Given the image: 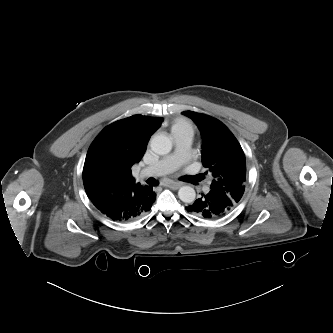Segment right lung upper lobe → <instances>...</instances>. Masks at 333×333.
I'll use <instances>...</instances> for the list:
<instances>
[{
    "instance_id": "obj_1",
    "label": "right lung upper lobe",
    "mask_w": 333,
    "mask_h": 333,
    "mask_svg": "<svg viewBox=\"0 0 333 333\" xmlns=\"http://www.w3.org/2000/svg\"><path fill=\"white\" fill-rule=\"evenodd\" d=\"M162 121L163 118L133 115L105 127L86 155L83 183L87 195L140 185L135 184L131 167L141 160Z\"/></svg>"
}]
</instances>
